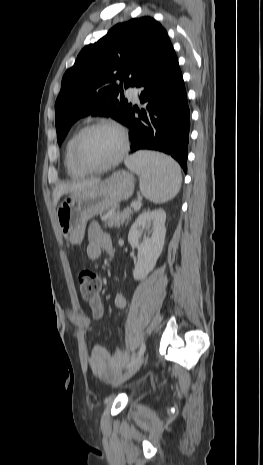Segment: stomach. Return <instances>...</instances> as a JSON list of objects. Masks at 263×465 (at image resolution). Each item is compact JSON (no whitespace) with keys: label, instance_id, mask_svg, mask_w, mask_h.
I'll return each instance as SVG.
<instances>
[{"label":"stomach","instance_id":"obj_1","mask_svg":"<svg viewBox=\"0 0 263 465\" xmlns=\"http://www.w3.org/2000/svg\"><path fill=\"white\" fill-rule=\"evenodd\" d=\"M134 187L133 174L119 170L98 184L70 193L57 210L58 225L64 238L72 244H80L88 220L129 199Z\"/></svg>","mask_w":263,"mask_h":465}]
</instances>
